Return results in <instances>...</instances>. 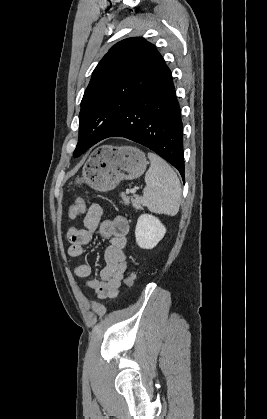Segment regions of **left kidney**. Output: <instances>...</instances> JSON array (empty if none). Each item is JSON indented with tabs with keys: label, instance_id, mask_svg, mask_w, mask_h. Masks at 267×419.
I'll return each mask as SVG.
<instances>
[{
	"label": "left kidney",
	"instance_id": "left-kidney-1",
	"mask_svg": "<svg viewBox=\"0 0 267 419\" xmlns=\"http://www.w3.org/2000/svg\"><path fill=\"white\" fill-rule=\"evenodd\" d=\"M166 228L151 214H142L135 228L136 243L143 249L154 248L164 237Z\"/></svg>",
	"mask_w": 267,
	"mask_h": 419
}]
</instances>
